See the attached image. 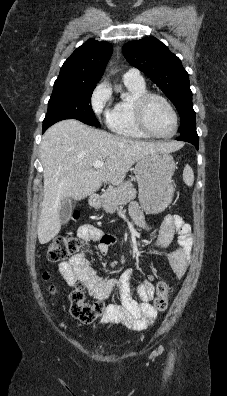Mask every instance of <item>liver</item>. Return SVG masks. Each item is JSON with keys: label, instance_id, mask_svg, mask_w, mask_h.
Returning <instances> with one entry per match:
<instances>
[{"label": "liver", "instance_id": "liver-1", "mask_svg": "<svg viewBox=\"0 0 227 396\" xmlns=\"http://www.w3.org/2000/svg\"><path fill=\"white\" fill-rule=\"evenodd\" d=\"M176 142H145L116 136L66 119L51 126L40 144L44 197L37 234L40 244L52 240L61 229L60 208L68 198L82 200L103 182L119 185L135 162L157 151L174 152ZM95 161H104L94 168Z\"/></svg>", "mask_w": 227, "mask_h": 396}]
</instances>
